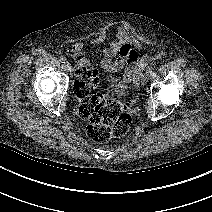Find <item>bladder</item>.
<instances>
[{
    "instance_id": "obj_1",
    "label": "bladder",
    "mask_w": 212,
    "mask_h": 212,
    "mask_svg": "<svg viewBox=\"0 0 212 212\" xmlns=\"http://www.w3.org/2000/svg\"><path fill=\"white\" fill-rule=\"evenodd\" d=\"M105 91L109 94L118 95L121 97H127L129 93L127 87L119 83V81L112 76L107 78Z\"/></svg>"
}]
</instances>
